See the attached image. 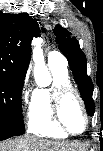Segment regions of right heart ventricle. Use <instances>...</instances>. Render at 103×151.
Listing matches in <instances>:
<instances>
[{
  "label": "right heart ventricle",
  "instance_id": "e07e8e85",
  "mask_svg": "<svg viewBox=\"0 0 103 151\" xmlns=\"http://www.w3.org/2000/svg\"><path fill=\"white\" fill-rule=\"evenodd\" d=\"M52 74V84L48 87H37L31 93L27 113L28 132L46 138L65 139L68 134L57 128L51 118L52 94L55 88L70 86L67 69L49 65Z\"/></svg>",
  "mask_w": 103,
  "mask_h": 151
}]
</instances>
